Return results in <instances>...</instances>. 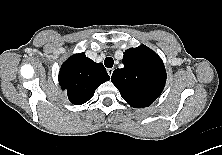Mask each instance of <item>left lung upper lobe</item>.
Instances as JSON below:
<instances>
[{
  "label": "left lung upper lobe",
  "instance_id": "5c2ea615",
  "mask_svg": "<svg viewBox=\"0 0 222 155\" xmlns=\"http://www.w3.org/2000/svg\"><path fill=\"white\" fill-rule=\"evenodd\" d=\"M122 62L124 68L114 70L111 81L130 106H150L165 86L163 61L149 47L141 45L127 49Z\"/></svg>",
  "mask_w": 222,
  "mask_h": 155
}]
</instances>
